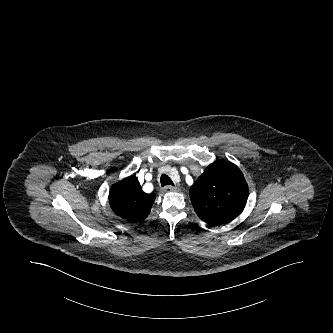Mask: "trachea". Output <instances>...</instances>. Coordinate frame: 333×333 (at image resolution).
Returning <instances> with one entry per match:
<instances>
[{"label": "trachea", "instance_id": "trachea-1", "mask_svg": "<svg viewBox=\"0 0 333 333\" xmlns=\"http://www.w3.org/2000/svg\"><path fill=\"white\" fill-rule=\"evenodd\" d=\"M160 182H161L162 187H164L166 185H172V186H174L173 181L166 174H162L161 175Z\"/></svg>", "mask_w": 333, "mask_h": 333}]
</instances>
